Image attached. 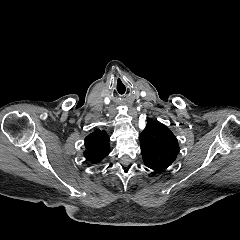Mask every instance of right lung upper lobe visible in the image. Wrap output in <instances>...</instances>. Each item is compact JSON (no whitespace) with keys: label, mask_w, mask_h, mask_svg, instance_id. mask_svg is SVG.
I'll use <instances>...</instances> for the list:
<instances>
[{"label":"right lung upper lobe","mask_w":240,"mask_h":240,"mask_svg":"<svg viewBox=\"0 0 240 240\" xmlns=\"http://www.w3.org/2000/svg\"><path fill=\"white\" fill-rule=\"evenodd\" d=\"M85 158L95 164L110 153L109 136L105 131L97 130L85 138Z\"/></svg>","instance_id":"right-lung-upper-lobe-1"}]
</instances>
